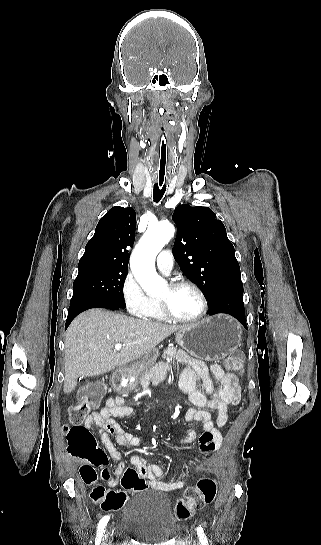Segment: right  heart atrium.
Listing matches in <instances>:
<instances>
[{
  "mask_svg": "<svg viewBox=\"0 0 321 545\" xmlns=\"http://www.w3.org/2000/svg\"><path fill=\"white\" fill-rule=\"evenodd\" d=\"M120 293L123 303L131 315L140 319H147L150 316L155 303L147 298L140 282L131 271L124 277Z\"/></svg>",
  "mask_w": 321,
  "mask_h": 545,
  "instance_id": "right-heart-atrium-1",
  "label": "right heart atrium"
}]
</instances>
